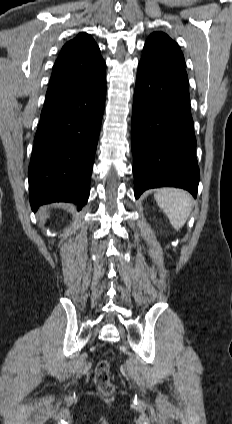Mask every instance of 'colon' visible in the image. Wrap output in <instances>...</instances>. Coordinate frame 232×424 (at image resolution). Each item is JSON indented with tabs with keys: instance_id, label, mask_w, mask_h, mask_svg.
Instances as JSON below:
<instances>
[{
	"instance_id": "1",
	"label": "colon",
	"mask_w": 232,
	"mask_h": 424,
	"mask_svg": "<svg viewBox=\"0 0 232 424\" xmlns=\"http://www.w3.org/2000/svg\"><path fill=\"white\" fill-rule=\"evenodd\" d=\"M110 362L106 359L100 360L96 366L94 381L98 390L104 395L114 392V385L110 378Z\"/></svg>"
}]
</instances>
